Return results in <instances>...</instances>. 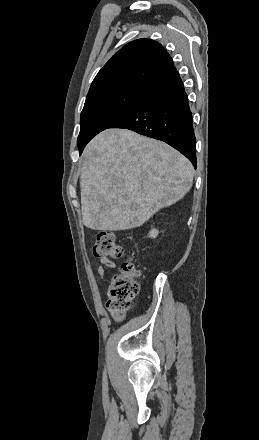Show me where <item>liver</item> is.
<instances>
[{
  "mask_svg": "<svg viewBox=\"0 0 259 440\" xmlns=\"http://www.w3.org/2000/svg\"><path fill=\"white\" fill-rule=\"evenodd\" d=\"M190 161L162 141L106 129L82 154L83 224L92 230L139 227L182 199L193 183Z\"/></svg>",
  "mask_w": 259,
  "mask_h": 440,
  "instance_id": "obj_1",
  "label": "liver"
}]
</instances>
